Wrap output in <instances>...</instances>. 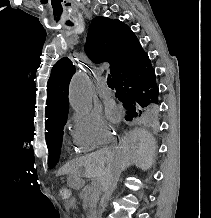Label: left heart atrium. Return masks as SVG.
Masks as SVG:
<instances>
[{"label":"left heart atrium","instance_id":"1","mask_svg":"<svg viewBox=\"0 0 211 218\" xmlns=\"http://www.w3.org/2000/svg\"><path fill=\"white\" fill-rule=\"evenodd\" d=\"M107 116L110 120L115 121L118 117V113L113 104H109L106 108Z\"/></svg>","mask_w":211,"mask_h":218}]
</instances>
